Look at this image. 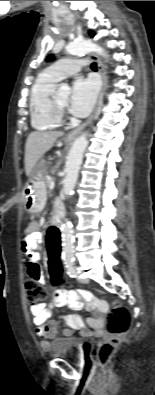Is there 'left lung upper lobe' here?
<instances>
[{
  "label": "left lung upper lobe",
  "mask_w": 155,
  "mask_h": 395,
  "mask_svg": "<svg viewBox=\"0 0 155 395\" xmlns=\"http://www.w3.org/2000/svg\"><path fill=\"white\" fill-rule=\"evenodd\" d=\"M89 35L91 37H93L95 35V33L93 31H89ZM52 59H53V55H49L48 58H47L48 61H51Z\"/></svg>",
  "instance_id": "left-lung-upper-lobe-1"
}]
</instances>
